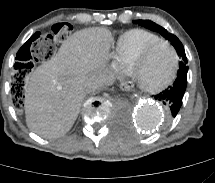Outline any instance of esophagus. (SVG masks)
<instances>
[{"instance_id":"34e87169","label":"esophagus","mask_w":215,"mask_h":183,"mask_svg":"<svg viewBox=\"0 0 215 183\" xmlns=\"http://www.w3.org/2000/svg\"><path fill=\"white\" fill-rule=\"evenodd\" d=\"M130 88H131L130 85L128 83H126V82L121 84V90L122 91H129Z\"/></svg>"}]
</instances>
